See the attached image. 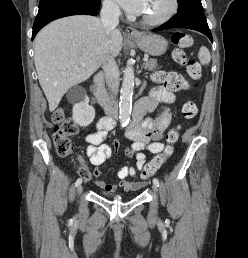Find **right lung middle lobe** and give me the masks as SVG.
<instances>
[{
  "instance_id": "dd1d6c3e",
  "label": "right lung middle lobe",
  "mask_w": 248,
  "mask_h": 258,
  "mask_svg": "<svg viewBox=\"0 0 248 258\" xmlns=\"http://www.w3.org/2000/svg\"><path fill=\"white\" fill-rule=\"evenodd\" d=\"M51 1H54V0H40L39 6L46 4L48 2H51Z\"/></svg>"
}]
</instances>
